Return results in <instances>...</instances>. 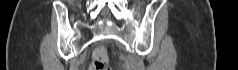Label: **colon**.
I'll return each instance as SVG.
<instances>
[{
  "instance_id": "1",
  "label": "colon",
  "mask_w": 238,
  "mask_h": 70,
  "mask_svg": "<svg viewBox=\"0 0 238 70\" xmlns=\"http://www.w3.org/2000/svg\"><path fill=\"white\" fill-rule=\"evenodd\" d=\"M108 62V53L106 48L97 47L93 52V62L90 70H105Z\"/></svg>"
}]
</instances>
